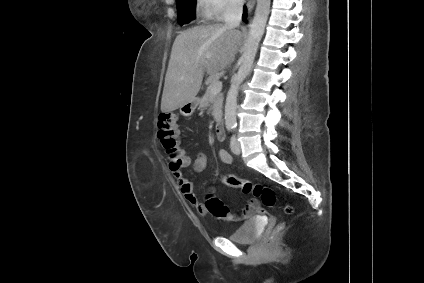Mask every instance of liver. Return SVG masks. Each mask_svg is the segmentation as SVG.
<instances>
[{
  "label": "liver",
  "mask_w": 424,
  "mask_h": 283,
  "mask_svg": "<svg viewBox=\"0 0 424 283\" xmlns=\"http://www.w3.org/2000/svg\"><path fill=\"white\" fill-rule=\"evenodd\" d=\"M242 34L220 23L200 25L177 35L166 73L161 111L181 108L198 94L204 73L215 75L235 60Z\"/></svg>",
  "instance_id": "6515ba94"
}]
</instances>
